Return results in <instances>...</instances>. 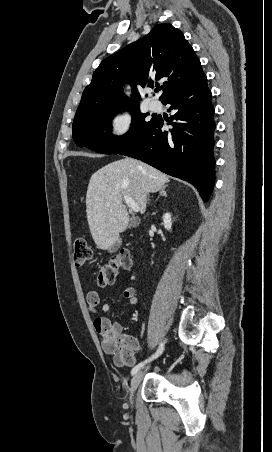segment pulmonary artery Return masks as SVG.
<instances>
[{"instance_id":"pulmonary-artery-1","label":"pulmonary artery","mask_w":272,"mask_h":452,"mask_svg":"<svg viewBox=\"0 0 272 452\" xmlns=\"http://www.w3.org/2000/svg\"><path fill=\"white\" fill-rule=\"evenodd\" d=\"M150 108H151V110H153V111H159V110L162 108V104H161V102L158 101V100H152V101L150 102Z\"/></svg>"}]
</instances>
